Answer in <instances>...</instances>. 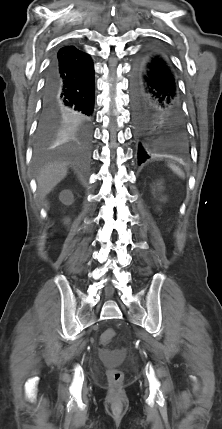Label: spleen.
<instances>
[{
  "label": "spleen",
  "mask_w": 222,
  "mask_h": 429,
  "mask_svg": "<svg viewBox=\"0 0 222 429\" xmlns=\"http://www.w3.org/2000/svg\"><path fill=\"white\" fill-rule=\"evenodd\" d=\"M168 166H169V167L171 168V170H172L173 172H175L178 176H180V177L184 178V172L181 170V168H180L179 166H177V165H175V164H169Z\"/></svg>",
  "instance_id": "1"
}]
</instances>
